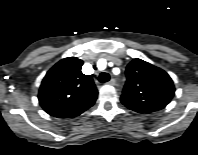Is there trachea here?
Wrapping results in <instances>:
<instances>
[{
    "instance_id": "3493384b",
    "label": "trachea",
    "mask_w": 198,
    "mask_h": 155,
    "mask_svg": "<svg viewBox=\"0 0 198 155\" xmlns=\"http://www.w3.org/2000/svg\"><path fill=\"white\" fill-rule=\"evenodd\" d=\"M99 81L101 82V83H105V82H108L109 80H110V75L108 74V73H101L100 75H99Z\"/></svg>"
}]
</instances>
